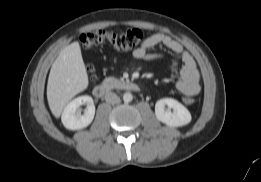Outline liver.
I'll return each mask as SVG.
<instances>
[{
  "label": "liver",
  "mask_w": 261,
  "mask_h": 182,
  "mask_svg": "<svg viewBox=\"0 0 261 182\" xmlns=\"http://www.w3.org/2000/svg\"><path fill=\"white\" fill-rule=\"evenodd\" d=\"M88 75L79 43L65 47L52 64L47 100L52 114L59 118L66 104L88 87Z\"/></svg>",
  "instance_id": "1"
}]
</instances>
